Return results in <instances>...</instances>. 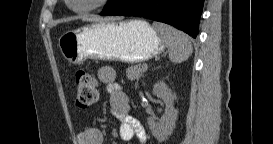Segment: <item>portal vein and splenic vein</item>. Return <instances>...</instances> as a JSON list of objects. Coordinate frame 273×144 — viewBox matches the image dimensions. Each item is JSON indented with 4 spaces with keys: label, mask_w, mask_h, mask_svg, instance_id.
Wrapping results in <instances>:
<instances>
[{
    "label": "portal vein and splenic vein",
    "mask_w": 273,
    "mask_h": 144,
    "mask_svg": "<svg viewBox=\"0 0 273 144\" xmlns=\"http://www.w3.org/2000/svg\"><path fill=\"white\" fill-rule=\"evenodd\" d=\"M143 67H144L145 69H147V68H148V65H147V64H144Z\"/></svg>",
    "instance_id": "18ae733b"
}]
</instances>
